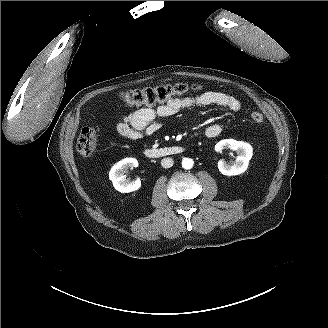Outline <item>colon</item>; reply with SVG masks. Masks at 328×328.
Returning <instances> with one entry per match:
<instances>
[{
    "label": "colon",
    "instance_id": "colon-1",
    "mask_svg": "<svg viewBox=\"0 0 328 328\" xmlns=\"http://www.w3.org/2000/svg\"><path fill=\"white\" fill-rule=\"evenodd\" d=\"M198 84L177 83L174 85H164L155 88H147L142 90H132L121 94L122 101L130 106H152L157 103L165 102L176 95H183L190 91H198ZM251 119L255 123H262L264 116L255 111L251 113ZM97 135L91 126L84 127L77 139V150L83 156H91L96 148Z\"/></svg>",
    "mask_w": 328,
    "mask_h": 328
}]
</instances>
